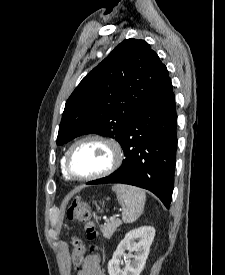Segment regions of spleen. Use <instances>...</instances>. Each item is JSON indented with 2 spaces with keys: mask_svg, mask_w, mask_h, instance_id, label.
Masks as SVG:
<instances>
[{
  "mask_svg": "<svg viewBox=\"0 0 225 275\" xmlns=\"http://www.w3.org/2000/svg\"><path fill=\"white\" fill-rule=\"evenodd\" d=\"M122 206V220L126 224L135 222L143 213L146 194L135 186L116 184L112 187Z\"/></svg>",
  "mask_w": 225,
  "mask_h": 275,
  "instance_id": "spleen-1",
  "label": "spleen"
}]
</instances>
